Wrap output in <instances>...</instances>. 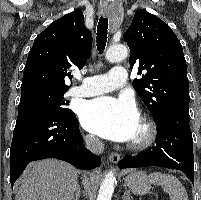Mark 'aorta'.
<instances>
[{
	"instance_id": "762f6f07",
	"label": "aorta",
	"mask_w": 201,
	"mask_h": 200,
	"mask_svg": "<svg viewBox=\"0 0 201 200\" xmlns=\"http://www.w3.org/2000/svg\"><path fill=\"white\" fill-rule=\"evenodd\" d=\"M128 55V49L124 45L110 46L106 52V59L110 62H119L124 60ZM116 182L115 175L112 171L106 174L104 177L97 200H111L114 192V183Z\"/></svg>"
}]
</instances>
